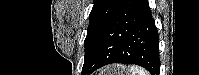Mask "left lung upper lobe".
<instances>
[{
  "label": "left lung upper lobe",
  "instance_id": "5c2ea615",
  "mask_svg": "<svg viewBox=\"0 0 199 75\" xmlns=\"http://www.w3.org/2000/svg\"><path fill=\"white\" fill-rule=\"evenodd\" d=\"M121 1L122 0H94V5L89 15L87 36L84 42L85 56L82 72L89 63L108 20Z\"/></svg>",
  "mask_w": 199,
  "mask_h": 75
}]
</instances>
